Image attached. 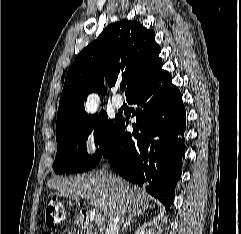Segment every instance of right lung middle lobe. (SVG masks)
<instances>
[{"label": "right lung middle lobe", "instance_id": "1", "mask_svg": "<svg viewBox=\"0 0 241 234\" xmlns=\"http://www.w3.org/2000/svg\"><path fill=\"white\" fill-rule=\"evenodd\" d=\"M117 118L110 120L102 110L96 116L56 132L58 145L53 169L57 174L80 173L94 168L104 154ZM94 131L95 144L100 146L92 156L87 154V136Z\"/></svg>", "mask_w": 241, "mask_h": 234}]
</instances>
